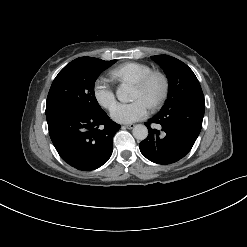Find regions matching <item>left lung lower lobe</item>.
Returning a JSON list of instances; mask_svg holds the SVG:
<instances>
[{"label":"left lung lower lobe","instance_id":"1","mask_svg":"<svg viewBox=\"0 0 247 247\" xmlns=\"http://www.w3.org/2000/svg\"><path fill=\"white\" fill-rule=\"evenodd\" d=\"M205 105L186 104L158 113L145 125L149 135L139 144L141 153L157 164H171L193 147L202 127ZM151 123L161 129H152Z\"/></svg>","mask_w":247,"mask_h":247}]
</instances>
